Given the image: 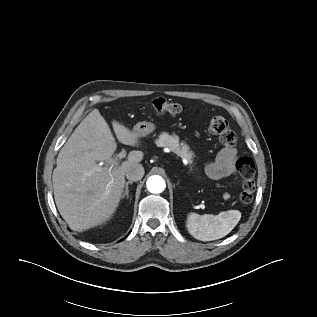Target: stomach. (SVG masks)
I'll use <instances>...</instances> for the list:
<instances>
[{"instance_id":"obj_1","label":"stomach","mask_w":317,"mask_h":317,"mask_svg":"<svg viewBox=\"0 0 317 317\" xmlns=\"http://www.w3.org/2000/svg\"><path fill=\"white\" fill-rule=\"evenodd\" d=\"M156 129V126L152 122H139L134 126V132H136L139 137H145L149 133L153 132Z\"/></svg>"}]
</instances>
